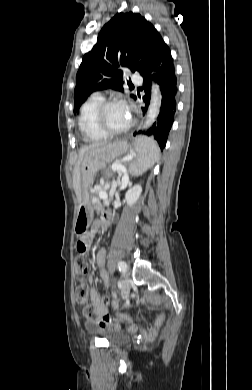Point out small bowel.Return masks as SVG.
<instances>
[{
    "mask_svg": "<svg viewBox=\"0 0 252 390\" xmlns=\"http://www.w3.org/2000/svg\"><path fill=\"white\" fill-rule=\"evenodd\" d=\"M109 224V216L107 213H104L101 217L100 220H96L90 229V231L82 236L80 240L77 242L76 249L78 252H83V250L80 248V243L85 242L87 245L90 243L92 237L99 231H104ZM105 257H106V251L105 249H101L98 251L96 255V263L98 266H102L105 262ZM100 276L102 278V281L105 285V287H109L110 281H109V274L106 270L101 269L100 270ZM89 299L91 305L94 307L96 313L98 314L99 317H102L106 314H108V305H105L103 303V299L100 298L98 292L91 287L89 291ZM163 317L161 316L159 320L162 321ZM125 322L134 327V321L131 317L125 315Z\"/></svg>",
    "mask_w": 252,
    "mask_h": 390,
    "instance_id": "small-bowel-1",
    "label": "small bowel"
}]
</instances>
